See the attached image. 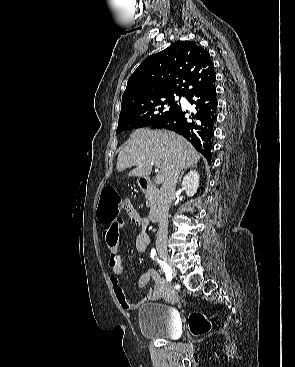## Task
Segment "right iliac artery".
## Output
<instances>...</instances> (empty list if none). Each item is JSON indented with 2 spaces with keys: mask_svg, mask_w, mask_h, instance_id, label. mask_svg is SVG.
<instances>
[{
  "mask_svg": "<svg viewBox=\"0 0 295 367\" xmlns=\"http://www.w3.org/2000/svg\"><path fill=\"white\" fill-rule=\"evenodd\" d=\"M150 255H151V258L156 260L160 264V266L163 268V271L166 275V279H167L168 282H170L172 280V271H171V268L169 267V265L166 262H164V261H162V260H160L156 257V250L155 249L151 250Z\"/></svg>",
  "mask_w": 295,
  "mask_h": 367,
  "instance_id": "82829eb1",
  "label": "right iliac artery"
}]
</instances>
